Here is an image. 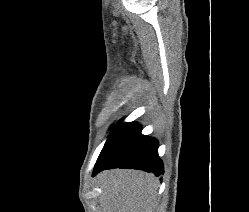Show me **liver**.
Segmentation results:
<instances>
[{
    "label": "liver",
    "mask_w": 249,
    "mask_h": 212,
    "mask_svg": "<svg viewBox=\"0 0 249 212\" xmlns=\"http://www.w3.org/2000/svg\"><path fill=\"white\" fill-rule=\"evenodd\" d=\"M99 206L104 212H154L158 180L139 170H105L98 174Z\"/></svg>",
    "instance_id": "6515ba94"
}]
</instances>
